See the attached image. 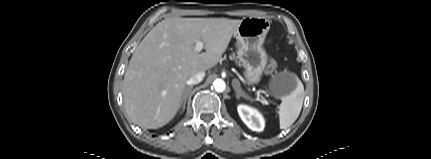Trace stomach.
Returning <instances> with one entry per match:
<instances>
[{"label":"stomach","mask_w":431,"mask_h":159,"mask_svg":"<svg viewBox=\"0 0 431 159\" xmlns=\"http://www.w3.org/2000/svg\"><path fill=\"white\" fill-rule=\"evenodd\" d=\"M269 29L268 19L251 16L243 18L234 32L238 44L237 56L245 68L244 76L248 84L259 83L267 65L263 43ZM297 82L298 77L293 73H277L270 79L269 91L274 97L284 99L295 91Z\"/></svg>","instance_id":"stomach-1"}]
</instances>
